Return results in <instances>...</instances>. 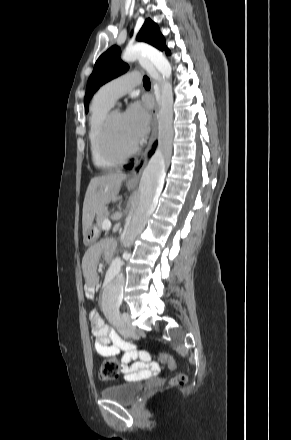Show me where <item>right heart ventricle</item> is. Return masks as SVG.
<instances>
[{
    "label": "right heart ventricle",
    "instance_id": "e07e8e85",
    "mask_svg": "<svg viewBox=\"0 0 291 440\" xmlns=\"http://www.w3.org/2000/svg\"><path fill=\"white\" fill-rule=\"evenodd\" d=\"M111 106L112 103L102 98L97 92L90 107L88 141L92 161L95 166L100 168H111L117 165V162L108 159L104 155L99 135L103 120L110 111Z\"/></svg>",
    "mask_w": 291,
    "mask_h": 440
}]
</instances>
